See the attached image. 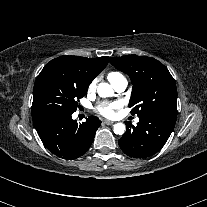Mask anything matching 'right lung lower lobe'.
Segmentation results:
<instances>
[{"label": "right lung lower lobe", "instance_id": "1", "mask_svg": "<svg viewBox=\"0 0 207 207\" xmlns=\"http://www.w3.org/2000/svg\"><path fill=\"white\" fill-rule=\"evenodd\" d=\"M72 114L59 110L32 113L33 124L43 144L53 154L67 160L76 159L87 152L101 125L95 116L78 124L72 119Z\"/></svg>", "mask_w": 207, "mask_h": 207}]
</instances>
